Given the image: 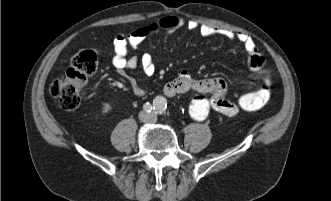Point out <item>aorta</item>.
I'll return each instance as SVG.
<instances>
[{
  "label": "aorta",
  "mask_w": 331,
  "mask_h": 201,
  "mask_svg": "<svg viewBox=\"0 0 331 201\" xmlns=\"http://www.w3.org/2000/svg\"><path fill=\"white\" fill-rule=\"evenodd\" d=\"M153 106L157 111H162L166 106V101L161 97H157L153 102Z\"/></svg>",
  "instance_id": "obj_1"
}]
</instances>
